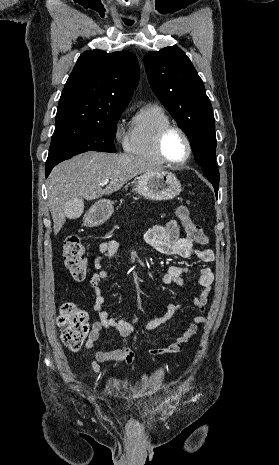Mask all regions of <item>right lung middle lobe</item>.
<instances>
[{
	"label": "right lung middle lobe",
	"instance_id": "dd1d6c3e",
	"mask_svg": "<svg viewBox=\"0 0 279 465\" xmlns=\"http://www.w3.org/2000/svg\"><path fill=\"white\" fill-rule=\"evenodd\" d=\"M124 109L112 110L101 120L71 122L55 127L46 167L57 165L74 155L95 150L115 152L116 124Z\"/></svg>",
	"mask_w": 279,
	"mask_h": 465
}]
</instances>
